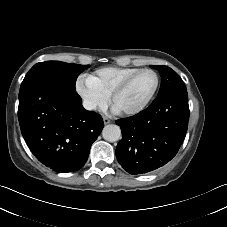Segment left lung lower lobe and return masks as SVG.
<instances>
[{"instance_id":"left-lung-lower-lobe-1","label":"left lung lower lobe","mask_w":227,"mask_h":227,"mask_svg":"<svg viewBox=\"0 0 227 227\" xmlns=\"http://www.w3.org/2000/svg\"><path fill=\"white\" fill-rule=\"evenodd\" d=\"M188 121L187 90L158 95L145 110L116 121L122 131L116 147L118 162L132 175L164 166L182 145Z\"/></svg>"}]
</instances>
